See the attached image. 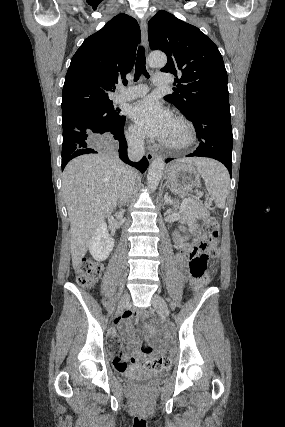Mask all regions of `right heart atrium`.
I'll list each match as a JSON object with an SVG mask.
<instances>
[{"label": "right heart atrium", "mask_w": 285, "mask_h": 427, "mask_svg": "<svg viewBox=\"0 0 285 427\" xmlns=\"http://www.w3.org/2000/svg\"><path fill=\"white\" fill-rule=\"evenodd\" d=\"M128 139L135 145H141L144 142V134L135 126L131 125L128 129Z\"/></svg>", "instance_id": "d8ad5b80"}]
</instances>
